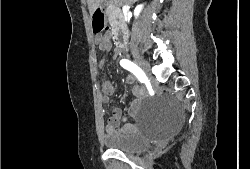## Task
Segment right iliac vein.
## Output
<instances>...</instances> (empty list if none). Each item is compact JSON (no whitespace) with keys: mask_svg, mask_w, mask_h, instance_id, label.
Wrapping results in <instances>:
<instances>
[{"mask_svg":"<svg viewBox=\"0 0 250 169\" xmlns=\"http://www.w3.org/2000/svg\"><path fill=\"white\" fill-rule=\"evenodd\" d=\"M134 61L136 64L139 65V67L145 71L146 73H148L149 70V65L141 58V57H135Z\"/></svg>","mask_w":250,"mask_h":169,"instance_id":"1","label":"right iliac vein"}]
</instances>
